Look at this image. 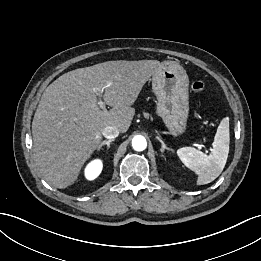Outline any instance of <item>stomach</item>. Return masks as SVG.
Wrapping results in <instances>:
<instances>
[{"label": "stomach", "mask_w": 261, "mask_h": 261, "mask_svg": "<svg viewBox=\"0 0 261 261\" xmlns=\"http://www.w3.org/2000/svg\"><path fill=\"white\" fill-rule=\"evenodd\" d=\"M152 89L158 103L156 113L174 136L186 130L189 113V79L178 63L166 61L152 76Z\"/></svg>", "instance_id": "1"}]
</instances>
